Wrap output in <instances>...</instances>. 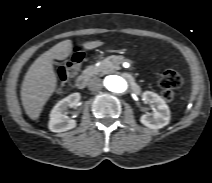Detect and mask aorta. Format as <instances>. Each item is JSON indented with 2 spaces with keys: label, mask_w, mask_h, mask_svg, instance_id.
<instances>
[{
  "label": "aorta",
  "mask_w": 212,
  "mask_h": 183,
  "mask_svg": "<svg viewBox=\"0 0 212 183\" xmlns=\"http://www.w3.org/2000/svg\"><path fill=\"white\" fill-rule=\"evenodd\" d=\"M106 89L115 94L125 93L128 89V81L118 75H109L104 79Z\"/></svg>",
  "instance_id": "1"
}]
</instances>
